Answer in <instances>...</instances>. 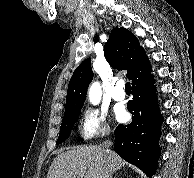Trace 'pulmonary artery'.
Listing matches in <instances>:
<instances>
[{
  "mask_svg": "<svg viewBox=\"0 0 194 178\" xmlns=\"http://www.w3.org/2000/svg\"><path fill=\"white\" fill-rule=\"evenodd\" d=\"M123 82H118L116 84V86L114 87L113 91H112V98L115 100V101H123L125 99V92H124V89H123Z\"/></svg>",
  "mask_w": 194,
  "mask_h": 178,
  "instance_id": "obj_1",
  "label": "pulmonary artery"
}]
</instances>
